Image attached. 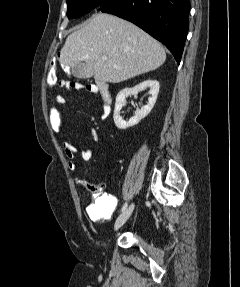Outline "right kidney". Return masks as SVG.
Masks as SVG:
<instances>
[{"label": "right kidney", "mask_w": 240, "mask_h": 287, "mask_svg": "<svg viewBox=\"0 0 240 287\" xmlns=\"http://www.w3.org/2000/svg\"><path fill=\"white\" fill-rule=\"evenodd\" d=\"M159 82L156 80H146L138 85H136L133 88H125L121 90L117 97L115 102V109H114V123L117 126L118 129L125 130L129 127H133L137 125L143 118H145L154 107V104L156 103V99L159 93ZM150 88L149 94L150 97L148 99V103L141 107L140 109L137 108L135 111V115L130 118L128 121H125L120 116V111L122 107L125 105V99L126 97L130 95H137L139 91Z\"/></svg>", "instance_id": "1"}]
</instances>
